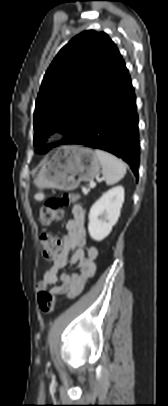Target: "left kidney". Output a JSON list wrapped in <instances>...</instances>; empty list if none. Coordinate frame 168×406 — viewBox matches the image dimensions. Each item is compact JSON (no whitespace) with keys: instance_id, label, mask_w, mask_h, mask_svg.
<instances>
[{"instance_id":"left-kidney-1","label":"left kidney","mask_w":168,"mask_h":406,"mask_svg":"<svg viewBox=\"0 0 168 406\" xmlns=\"http://www.w3.org/2000/svg\"><path fill=\"white\" fill-rule=\"evenodd\" d=\"M124 202V188L105 192L90 208L88 231L92 239L102 241L117 223Z\"/></svg>"}]
</instances>
